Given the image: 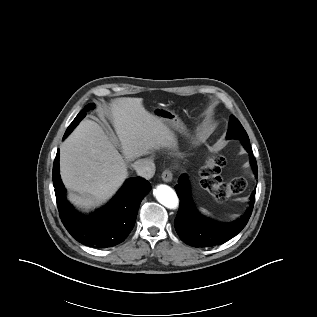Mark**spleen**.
<instances>
[{
	"label": "spleen",
	"instance_id": "3e777b00",
	"mask_svg": "<svg viewBox=\"0 0 317 317\" xmlns=\"http://www.w3.org/2000/svg\"><path fill=\"white\" fill-rule=\"evenodd\" d=\"M200 210H201V212H202L203 214H205V215H209V214H210V213H209L206 209H204V208H201Z\"/></svg>",
	"mask_w": 317,
	"mask_h": 317
}]
</instances>
